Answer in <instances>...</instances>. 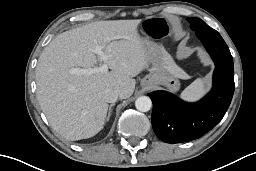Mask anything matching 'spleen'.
Listing matches in <instances>:
<instances>
[{"mask_svg": "<svg viewBox=\"0 0 256 171\" xmlns=\"http://www.w3.org/2000/svg\"><path fill=\"white\" fill-rule=\"evenodd\" d=\"M206 91V82L203 78H197L193 83L186 87L181 93L185 100L192 101L202 96Z\"/></svg>", "mask_w": 256, "mask_h": 171, "instance_id": "1", "label": "spleen"}]
</instances>
